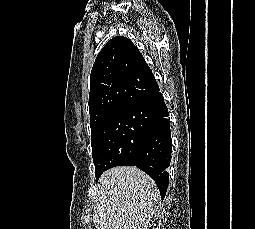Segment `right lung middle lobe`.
I'll return each instance as SVG.
<instances>
[{
	"mask_svg": "<svg viewBox=\"0 0 255 229\" xmlns=\"http://www.w3.org/2000/svg\"><path fill=\"white\" fill-rule=\"evenodd\" d=\"M145 133L144 120L126 109L101 123L91 135L96 181L112 167L133 163Z\"/></svg>",
	"mask_w": 255,
	"mask_h": 229,
	"instance_id": "1",
	"label": "right lung middle lobe"
}]
</instances>
